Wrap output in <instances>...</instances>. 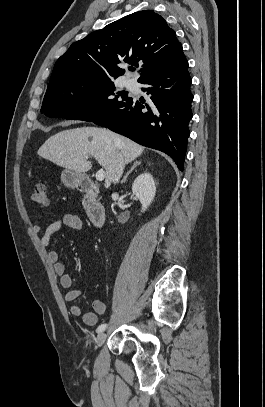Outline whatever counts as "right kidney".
<instances>
[{
    "mask_svg": "<svg viewBox=\"0 0 265 407\" xmlns=\"http://www.w3.org/2000/svg\"><path fill=\"white\" fill-rule=\"evenodd\" d=\"M132 192L142 204L141 211H146L152 203L156 192L153 176L148 172H144L137 176L132 184Z\"/></svg>",
    "mask_w": 265,
    "mask_h": 407,
    "instance_id": "ca27d5eb",
    "label": "right kidney"
}]
</instances>
